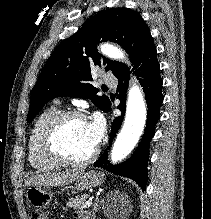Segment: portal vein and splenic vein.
Instances as JSON below:
<instances>
[{
	"label": "portal vein and splenic vein",
	"instance_id": "18ae733b",
	"mask_svg": "<svg viewBox=\"0 0 211 219\" xmlns=\"http://www.w3.org/2000/svg\"><path fill=\"white\" fill-rule=\"evenodd\" d=\"M93 197H90L88 201H86L84 208L90 207L92 205Z\"/></svg>",
	"mask_w": 211,
	"mask_h": 219
}]
</instances>
